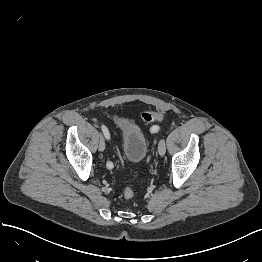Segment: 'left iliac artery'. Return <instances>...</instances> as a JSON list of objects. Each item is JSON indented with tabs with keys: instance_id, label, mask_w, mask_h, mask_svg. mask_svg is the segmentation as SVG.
<instances>
[{
	"instance_id": "left-iliac-artery-1",
	"label": "left iliac artery",
	"mask_w": 262,
	"mask_h": 262,
	"mask_svg": "<svg viewBox=\"0 0 262 262\" xmlns=\"http://www.w3.org/2000/svg\"><path fill=\"white\" fill-rule=\"evenodd\" d=\"M151 129H152L153 131H157V130H159V127H158V126H153Z\"/></svg>"
}]
</instances>
